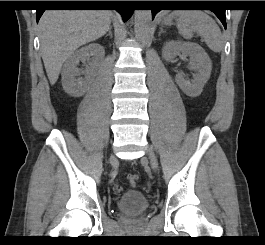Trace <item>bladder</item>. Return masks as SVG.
Instances as JSON below:
<instances>
[{"mask_svg":"<svg viewBox=\"0 0 265 245\" xmlns=\"http://www.w3.org/2000/svg\"><path fill=\"white\" fill-rule=\"evenodd\" d=\"M147 197L138 190H126L117 202V210L123 216H136L147 210Z\"/></svg>","mask_w":265,"mask_h":245,"instance_id":"31cf9c89","label":"bladder"}]
</instances>
